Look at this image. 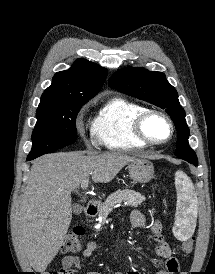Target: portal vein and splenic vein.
<instances>
[{"instance_id":"1","label":"portal vein and splenic vein","mask_w":215,"mask_h":274,"mask_svg":"<svg viewBox=\"0 0 215 274\" xmlns=\"http://www.w3.org/2000/svg\"><path fill=\"white\" fill-rule=\"evenodd\" d=\"M88 183H89V178H86L82 181V183H81L82 190H85L87 188Z\"/></svg>"}]
</instances>
